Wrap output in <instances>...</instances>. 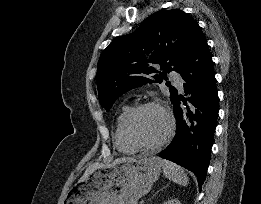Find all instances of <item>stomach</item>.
I'll list each match as a JSON object with an SVG mask.
<instances>
[{"label":"stomach","mask_w":261,"mask_h":204,"mask_svg":"<svg viewBox=\"0 0 261 204\" xmlns=\"http://www.w3.org/2000/svg\"><path fill=\"white\" fill-rule=\"evenodd\" d=\"M162 165L156 156L104 165L76 183L64 204H137L158 179Z\"/></svg>","instance_id":"obj_1"}]
</instances>
